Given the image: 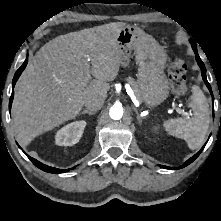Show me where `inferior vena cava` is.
Listing matches in <instances>:
<instances>
[{
    "label": "inferior vena cava",
    "instance_id": "602c4592",
    "mask_svg": "<svg viewBox=\"0 0 221 221\" xmlns=\"http://www.w3.org/2000/svg\"><path fill=\"white\" fill-rule=\"evenodd\" d=\"M104 99L101 97H91L85 101V106L90 111H98L103 107Z\"/></svg>",
    "mask_w": 221,
    "mask_h": 221
}]
</instances>
